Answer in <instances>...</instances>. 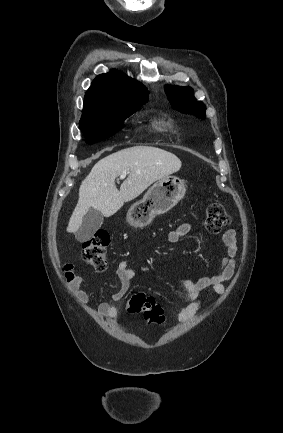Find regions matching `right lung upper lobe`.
I'll use <instances>...</instances> for the list:
<instances>
[{
  "instance_id": "obj_1",
  "label": "right lung upper lobe",
  "mask_w": 283,
  "mask_h": 433,
  "mask_svg": "<svg viewBox=\"0 0 283 433\" xmlns=\"http://www.w3.org/2000/svg\"><path fill=\"white\" fill-rule=\"evenodd\" d=\"M148 100L144 85L112 70L97 76L85 94L83 112L141 107Z\"/></svg>"
}]
</instances>
